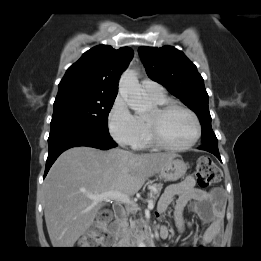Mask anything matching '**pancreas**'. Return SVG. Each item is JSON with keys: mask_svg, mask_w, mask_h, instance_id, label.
I'll list each match as a JSON object with an SVG mask.
<instances>
[{"mask_svg": "<svg viewBox=\"0 0 261 261\" xmlns=\"http://www.w3.org/2000/svg\"><path fill=\"white\" fill-rule=\"evenodd\" d=\"M163 188V184L161 183H151L150 184V189H151V197L152 200L155 202L157 200V198L160 195V192ZM136 222L135 220L130 219V227L128 228V223L126 221V219L124 220V227L126 228V232L128 234H132V232L135 230L136 228ZM122 234V233H121Z\"/></svg>", "mask_w": 261, "mask_h": 261, "instance_id": "pancreas-1", "label": "pancreas"}]
</instances>
